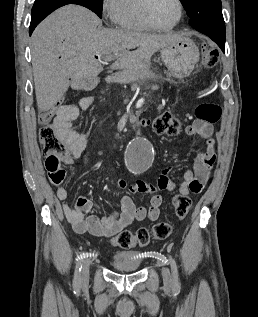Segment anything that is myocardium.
Segmentation results:
<instances>
[{
    "instance_id": "obj_1",
    "label": "myocardium",
    "mask_w": 258,
    "mask_h": 317,
    "mask_svg": "<svg viewBox=\"0 0 258 317\" xmlns=\"http://www.w3.org/2000/svg\"><path fill=\"white\" fill-rule=\"evenodd\" d=\"M154 1L155 0H145V2L143 3V5L141 7L140 18H141L143 25L149 30L160 31V32H166V31H170V30L174 29L179 24V22L181 21L182 16H183L182 1L175 0L177 5H178V17H177L176 21L168 27L156 26L151 22V20L149 18V9L151 7V4Z\"/></svg>"
}]
</instances>
